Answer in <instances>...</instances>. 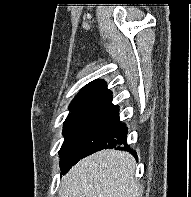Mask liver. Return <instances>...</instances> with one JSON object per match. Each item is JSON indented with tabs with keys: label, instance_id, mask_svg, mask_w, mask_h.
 <instances>
[{
	"label": "liver",
	"instance_id": "6515ba94",
	"mask_svg": "<svg viewBox=\"0 0 191 197\" xmlns=\"http://www.w3.org/2000/svg\"><path fill=\"white\" fill-rule=\"evenodd\" d=\"M136 162L127 152L103 150L79 161L63 177L61 197H139Z\"/></svg>",
	"mask_w": 191,
	"mask_h": 197
}]
</instances>
